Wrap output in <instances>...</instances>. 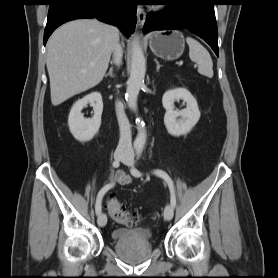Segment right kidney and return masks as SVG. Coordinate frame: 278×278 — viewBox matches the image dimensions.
<instances>
[{"label": "right kidney", "mask_w": 278, "mask_h": 278, "mask_svg": "<svg viewBox=\"0 0 278 278\" xmlns=\"http://www.w3.org/2000/svg\"><path fill=\"white\" fill-rule=\"evenodd\" d=\"M87 104H90L94 110L91 119H85L81 113ZM102 112L103 102L99 92H92L76 101L68 116L69 129L74 138L80 142L90 141L100 128Z\"/></svg>", "instance_id": "ca27d5eb"}]
</instances>
